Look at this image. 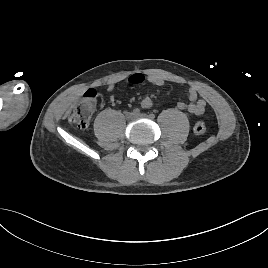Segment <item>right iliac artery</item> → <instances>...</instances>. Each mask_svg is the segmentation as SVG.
I'll return each mask as SVG.
<instances>
[{"label":"right iliac artery","mask_w":268,"mask_h":268,"mask_svg":"<svg viewBox=\"0 0 268 268\" xmlns=\"http://www.w3.org/2000/svg\"><path fill=\"white\" fill-rule=\"evenodd\" d=\"M132 113H133L134 115H139V114H140V109L135 108V109L132 111Z\"/></svg>","instance_id":"obj_1"}]
</instances>
